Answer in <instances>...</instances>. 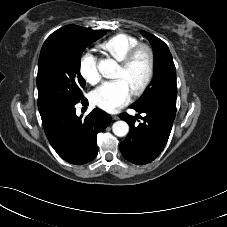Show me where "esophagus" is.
Instances as JSON below:
<instances>
[{
	"instance_id": "34e87169",
	"label": "esophagus",
	"mask_w": 227,
	"mask_h": 227,
	"mask_svg": "<svg viewBox=\"0 0 227 227\" xmlns=\"http://www.w3.org/2000/svg\"><path fill=\"white\" fill-rule=\"evenodd\" d=\"M118 118H119V117L116 116V115L112 116V119H113V120H117Z\"/></svg>"
}]
</instances>
